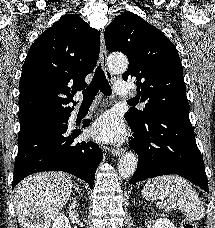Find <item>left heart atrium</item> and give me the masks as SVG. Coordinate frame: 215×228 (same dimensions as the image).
Instances as JSON below:
<instances>
[{
	"label": "left heart atrium",
	"mask_w": 215,
	"mask_h": 228,
	"mask_svg": "<svg viewBox=\"0 0 215 228\" xmlns=\"http://www.w3.org/2000/svg\"><path fill=\"white\" fill-rule=\"evenodd\" d=\"M91 136L104 143H121L126 136V129L121 118L108 111L97 118L90 127Z\"/></svg>",
	"instance_id": "obj_1"
}]
</instances>
